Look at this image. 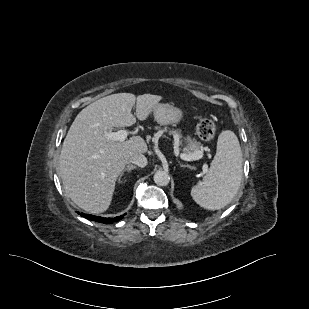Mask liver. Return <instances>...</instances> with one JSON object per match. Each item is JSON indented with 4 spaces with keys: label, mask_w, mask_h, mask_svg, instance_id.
<instances>
[{
    "label": "liver",
    "mask_w": 309,
    "mask_h": 309,
    "mask_svg": "<svg viewBox=\"0 0 309 309\" xmlns=\"http://www.w3.org/2000/svg\"><path fill=\"white\" fill-rule=\"evenodd\" d=\"M162 97L117 93L85 107L73 121L59 157V173L68 197L91 213L106 211L116 180L131 155L147 152L141 136L120 142L104 134L113 127H129L148 118ZM136 102V117L131 110Z\"/></svg>",
    "instance_id": "6515ba94"
}]
</instances>
